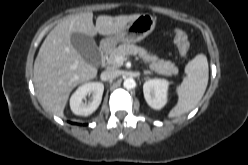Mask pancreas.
<instances>
[{
    "label": "pancreas",
    "instance_id": "obj_1",
    "mask_svg": "<svg viewBox=\"0 0 248 165\" xmlns=\"http://www.w3.org/2000/svg\"><path fill=\"white\" fill-rule=\"evenodd\" d=\"M129 55H139V57L142 58L145 63L149 64L150 69L157 72L158 74L165 76H176L179 72L175 63L153 57L147 52L146 49L134 44L119 45L109 53L107 62L112 67L117 68L120 67L122 63L117 62L115 58L118 56L126 57Z\"/></svg>",
    "mask_w": 248,
    "mask_h": 165
}]
</instances>
